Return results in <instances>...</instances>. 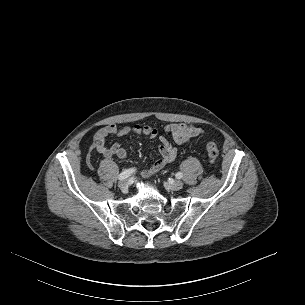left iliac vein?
I'll return each mask as SVG.
<instances>
[{
  "mask_svg": "<svg viewBox=\"0 0 305 305\" xmlns=\"http://www.w3.org/2000/svg\"><path fill=\"white\" fill-rule=\"evenodd\" d=\"M169 186L172 190L177 191L183 187V182L181 180H175L170 182Z\"/></svg>",
  "mask_w": 305,
  "mask_h": 305,
  "instance_id": "left-iliac-vein-1",
  "label": "left iliac vein"
}]
</instances>
